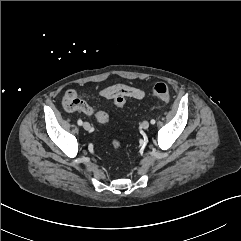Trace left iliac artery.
Returning <instances> with one entry per match:
<instances>
[{"instance_id": "obj_1", "label": "left iliac artery", "mask_w": 241, "mask_h": 241, "mask_svg": "<svg viewBox=\"0 0 241 241\" xmlns=\"http://www.w3.org/2000/svg\"><path fill=\"white\" fill-rule=\"evenodd\" d=\"M155 122H156V121H155L154 119H152V120L150 121L151 124H155Z\"/></svg>"}]
</instances>
